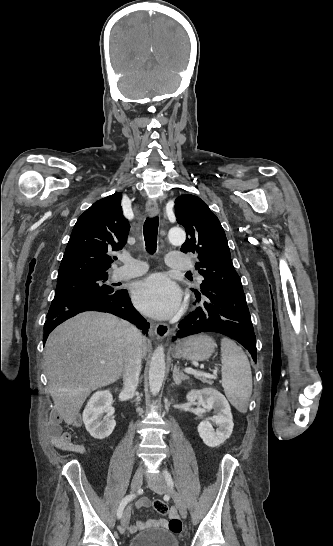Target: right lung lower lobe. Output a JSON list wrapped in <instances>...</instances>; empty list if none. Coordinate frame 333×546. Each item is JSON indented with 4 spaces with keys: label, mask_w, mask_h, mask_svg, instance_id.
<instances>
[{
    "label": "right lung lower lobe",
    "mask_w": 333,
    "mask_h": 546,
    "mask_svg": "<svg viewBox=\"0 0 333 546\" xmlns=\"http://www.w3.org/2000/svg\"><path fill=\"white\" fill-rule=\"evenodd\" d=\"M84 311L114 314L136 325L147 334L150 324L133 307L127 290H117L111 295L79 293L57 296L53 299L44 324V343L53 329L65 320Z\"/></svg>",
    "instance_id": "right-lung-lower-lobe-1"
}]
</instances>
